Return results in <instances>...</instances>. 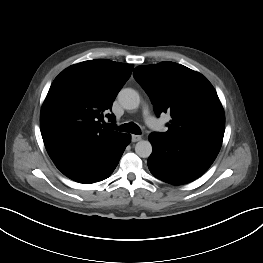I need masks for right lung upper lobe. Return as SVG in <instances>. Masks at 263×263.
I'll list each match as a JSON object with an SVG mask.
<instances>
[{"mask_svg":"<svg viewBox=\"0 0 263 263\" xmlns=\"http://www.w3.org/2000/svg\"><path fill=\"white\" fill-rule=\"evenodd\" d=\"M133 65L95 59L72 65L53 81L40 115L46 150L58 165L78 155L100 150L123 133L105 126L118 92L131 76ZM115 122L113 114L106 115Z\"/></svg>","mask_w":263,"mask_h":263,"instance_id":"cb5924a9","label":"right lung upper lobe"}]
</instances>
